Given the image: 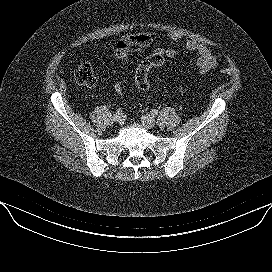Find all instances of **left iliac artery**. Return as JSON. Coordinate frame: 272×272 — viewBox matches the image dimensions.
Wrapping results in <instances>:
<instances>
[{
  "mask_svg": "<svg viewBox=\"0 0 272 272\" xmlns=\"http://www.w3.org/2000/svg\"><path fill=\"white\" fill-rule=\"evenodd\" d=\"M151 114H152V115H157V114H158V110L152 109Z\"/></svg>",
  "mask_w": 272,
  "mask_h": 272,
  "instance_id": "obj_1",
  "label": "left iliac artery"
}]
</instances>
